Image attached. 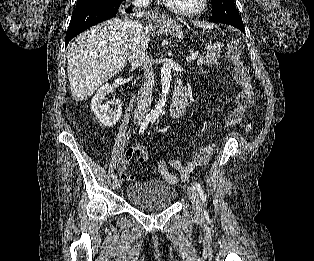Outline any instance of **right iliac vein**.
I'll return each mask as SVG.
<instances>
[{
	"label": "right iliac vein",
	"instance_id": "right-iliac-vein-1",
	"mask_svg": "<svg viewBox=\"0 0 314 261\" xmlns=\"http://www.w3.org/2000/svg\"><path fill=\"white\" fill-rule=\"evenodd\" d=\"M120 186H121L120 181L117 180V179L114 180V182H113V188H114L115 190H119Z\"/></svg>",
	"mask_w": 314,
	"mask_h": 261
}]
</instances>
